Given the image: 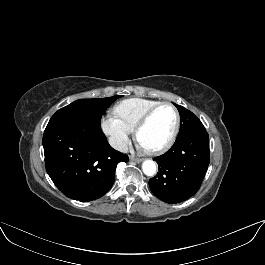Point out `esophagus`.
<instances>
[{
  "label": "esophagus",
  "instance_id": "esophagus-1",
  "mask_svg": "<svg viewBox=\"0 0 265 265\" xmlns=\"http://www.w3.org/2000/svg\"><path fill=\"white\" fill-rule=\"evenodd\" d=\"M129 159L131 162H135V163H140L142 161L141 158L134 157V156H130Z\"/></svg>",
  "mask_w": 265,
  "mask_h": 265
}]
</instances>
